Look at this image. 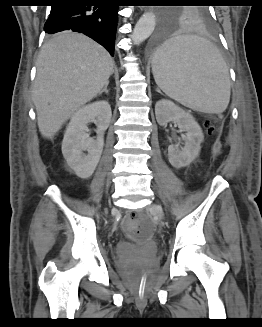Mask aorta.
<instances>
[{"mask_svg": "<svg viewBox=\"0 0 262 327\" xmlns=\"http://www.w3.org/2000/svg\"><path fill=\"white\" fill-rule=\"evenodd\" d=\"M156 16L153 11L145 12L135 25L132 33V40L135 44L145 41L154 31Z\"/></svg>", "mask_w": 262, "mask_h": 327, "instance_id": "1", "label": "aorta"}]
</instances>
